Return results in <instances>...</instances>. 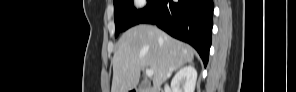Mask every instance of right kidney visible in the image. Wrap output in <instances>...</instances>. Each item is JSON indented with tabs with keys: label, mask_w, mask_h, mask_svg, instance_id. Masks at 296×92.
<instances>
[{
	"label": "right kidney",
	"mask_w": 296,
	"mask_h": 92,
	"mask_svg": "<svg viewBox=\"0 0 296 92\" xmlns=\"http://www.w3.org/2000/svg\"><path fill=\"white\" fill-rule=\"evenodd\" d=\"M197 71L193 65L181 68L171 81L172 92H194Z\"/></svg>",
	"instance_id": "1"
}]
</instances>
